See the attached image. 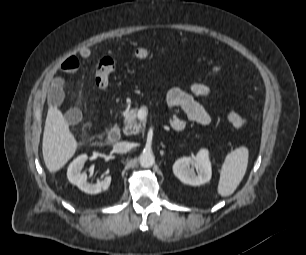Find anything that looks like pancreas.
<instances>
[{"mask_svg": "<svg viewBox=\"0 0 306 255\" xmlns=\"http://www.w3.org/2000/svg\"><path fill=\"white\" fill-rule=\"evenodd\" d=\"M137 109H131L124 113V128L125 135L137 134L144 131L145 122L137 120Z\"/></svg>", "mask_w": 306, "mask_h": 255, "instance_id": "obj_1", "label": "pancreas"}]
</instances>
